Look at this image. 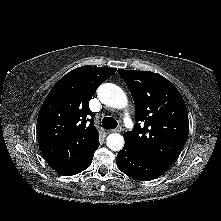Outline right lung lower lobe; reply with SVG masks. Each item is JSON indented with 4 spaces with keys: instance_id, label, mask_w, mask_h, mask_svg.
<instances>
[{
    "instance_id": "right-lung-lower-lobe-1",
    "label": "right lung lower lobe",
    "mask_w": 221,
    "mask_h": 221,
    "mask_svg": "<svg viewBox=\"0 0 221 221\" xmlns=\"http://www.w3.org/2000/svg\"><path fill=\"white\" fill-rule=\"evenodd\" d=\"M98 146L99 145H97L93 149V151H91V153H89L85 157V159L83 161H81L79 164H77L73 168H70V169L62 172L61 175H63V176H71V175L78 174V173L82 172L83 170L87 169L90 166L91 162H92L94 152L97 150Z\"/></svg>"
}]
</instances>
